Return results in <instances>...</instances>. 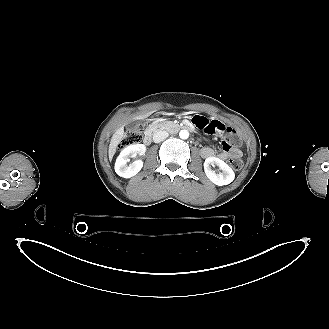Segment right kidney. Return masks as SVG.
<instances>
[{
    "label": "right kidney",
    "instance_id": "1",
    "mask_svg": "<svg viewBox=\"0 0 329 329\" xmlns=\"http://www.w3.org/2000/svg\"><path fill=\"white\" fill-rule=\"evenodd\" d=\"M145 151L146 147L143 144H131L125 147L116 159L115 172L123 178H130L136 175L143 167V161L136 160L128 164L130 161L129 157L131 154L142 155Z\"/></svg>",
    "mask_w": 329,
    "mask_h": 329
}]
</instances>
